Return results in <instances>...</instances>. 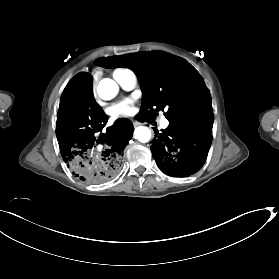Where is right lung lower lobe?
Segmentation results:
<instances>
[{
    "instance_id": "98d812e1",
    "label": "right lung lower lobe",
    "mask_w": 279,
    "mask_h": 279,
    "mask_svg": "<svg viewBox=\"0 0 279 279\" xmlns=\"http://www.w3.org/2000/svg\"><path fill=\"white\" fill-rule=\"evenodd\" d=\"M92 85V76L86 72L70 80L61 96L56 136L72 174L86 183L98 184L118 175L134 128L128 119H118L103 129L108 117L95 102Z\"/></svg>"
}]
</instances>
